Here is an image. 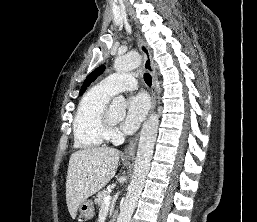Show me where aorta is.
I'll return each mask as SVG.
<instances>
[{"label":"aorta","instance_id":"aorta-1","mask_svg":"<svg viewBox=\"0 0 257 222\" xmlns=\"http://www.w3.org/2000/svg\"><path fill=\"white\" fill-rule=\"evenodd\" d=\"M140 64V55L137 52H129L116 57L114 68L116 71L127 72L137 68ZM110 107L113 110L124 111L126 101L122 96L116 97L113 99ZM158 125L159 116L152 114L142 127L135 160L134 175L128 187L126 198L120 207L117 222H130L131 220V216L143 190L145 179L150 169Z\"/></svg>","mask_w":257,"mask_h":222}]
</instances>
